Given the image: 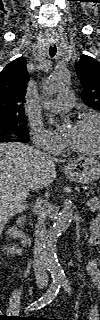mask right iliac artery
I'll return each mask as SVG.
<instances>
[{"instance_id":"right-iliac-artery-1","label":"right iliac artery","mask_w":100,"mask_h":320,"mask_svg":"<svg viewBox=\"0 0 100 320\" xmlns=\"http://www.w3.org/2000/svg\"><path fill=\"white\" fill-rule=\"evenodd\" d=\"M62 283L60 280H54L47 292L34 303L30 304L26 310H36L49 304L57 295Z\"/></svg>"}]
</instances>
